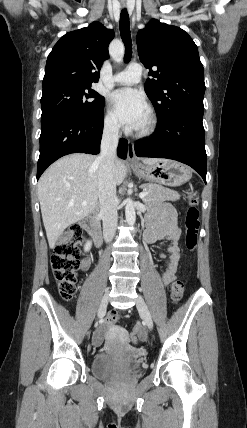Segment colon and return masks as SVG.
I'll list each match as a JSON object with an SVG mask.
<instances>
[{
  "instance_id": "5ec220e1",
  "label": "colon",
  "mask_w": 247,
  "mask_h": 428,
  "mask_svg": "<svg viewBox=\"0 0 247 428\" xmlns=\"http://www.w3.org/2000/svg\"><path fill=\"white\" fill-rule=\"evenodd\" d=\"M189 207L185 216V248L193 251L197 245L199 231V201L195 192L188 193ZM86 242V235L79 225L70 228L67 237L55 248L51 256V266L57 281V286L61 297L70 301L76 292L79 268V248ZM184 283L176 280L171 285V299L173 303H178L184 294ZM122 317L121 315L119 316ZM118 319V314L111 312L107 317V322L113 323ZM138 334L142 331L137 329Z\"/></svg>"
}]
</instances>
